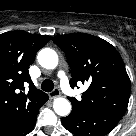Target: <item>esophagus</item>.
<instances>
[{"instance_id":"1","label":"esophagus","mask_w":136,"mask_h":136,"mask_svg":"<svg viewBox=\"0 0 136 136\" xmlns=\"http://www.w3.org/2000/svg\"><path fill=\"white\" fill-rule=\"evenodd\" d=\"M60 96V90L58 88H55L53 91L49 92V98L55 99Z\"/></svg>"}]
</instances>
